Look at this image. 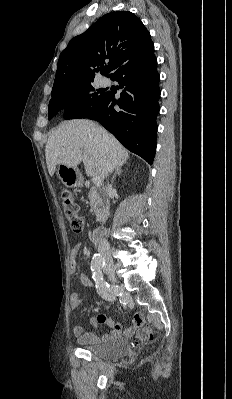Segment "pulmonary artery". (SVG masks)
<instances>
[{
  "label": "pulmonary artery",
  "instance_id": "1",
  "mask_svg": "<svg viewBox=\"0 0 232 399\" xmlns=\"http://www.w3.org/2000/svg\"><path fill=\"white\" fill-rule=\"evenodd\" d=\"M98 82L102 87H107L110 84V80L105 77H101Z\"/></svg>",
  "mask_w": 232,
  "mask_h": 399
}]
</instances>
